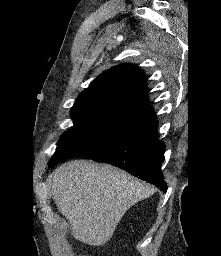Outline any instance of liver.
Masks as SVG:
<instances>
[{"mask_svg":"<svg viewBox=\"0 0 221 256\" xmlns=\"http://www.w3.org/2000/svg\"><path fill=\"white\" fill-rule=\"evenodd\" d=\"M48 180L59 212L75 239L92 246L106 243L126 211L155 189L111 165L67 162Z\"/></svg>","mask_w":221,"mask_h":256,"instance_id":"liver-1","label":"liver"}]
</instances>
